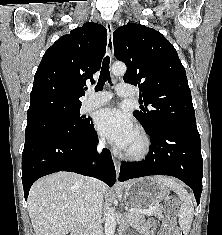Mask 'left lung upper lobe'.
<instances>
[{"mask_svg":"<svg viewBox=\"0 0 222 235\" xmlns=\"http://www.w3.org/2000/svg\"><path fill=\"white\" fill-rule=\"evenodd\" d=\"M114 55L126 63V83L139 87L145 106L133 115L148 133L176 127L198 132L185 69L174 46L158 31L128 23L113 33Z\"/></svg>","mask_w":222,"mask_h":235,"instance_id":"obj_1","label":"left lung upper lobe"}]
</instances>
